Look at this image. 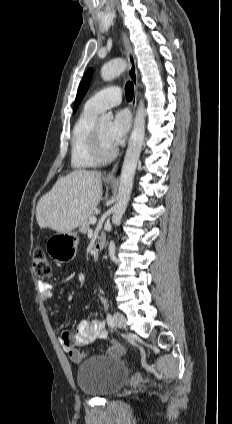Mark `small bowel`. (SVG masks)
Wrapping results in <instances>:
<instances>
[{
    "label": "small bowel",
    "mask_w": 232,
    "mask_h": 424,
    "mask_svg": "<svg viewBox=\"0 0 232 424\" xmlns=\"http://www.w3.org/2000/svg\"><path fill=\"white\" fill-rule=\"evenodd\" d=\"M73 275L69 277L71 279ZM39 291L45 301H48L53 296V287L50 283L40 281L38 283ZM105 302L104 297H102ZM108 334L105 330V325L102 319L94 318L93 320H81L75 331L64 329L61 331L60 343L63 350L68 354L71 361L79 363L85 358V354L80 351V347L89 345L98 339H105ZM110 355H120L110 344L108 351Z\"/></svg>",
    "instance_id": "small-bowel-1"
}]
</instances>
